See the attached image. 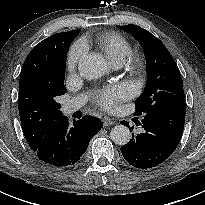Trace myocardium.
<instances>
[{
	"label": "myocardium",
	"instance_id": "f54148a6",
	"mask_svg": "<svg viewBox=\"0 0 205 205\" xmlns=\"http://www.w3.org/2000/svg\"><path fill=\"white\" fill-rule=\"evenodd\" d=\"M126 61V66L134 74H140L144 68L143 59L137 54H130Z\"/></svg>",
	"mask_w": 205,
	"mask_h": 205
}]
</instances>
